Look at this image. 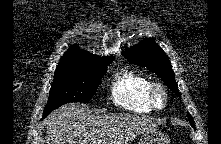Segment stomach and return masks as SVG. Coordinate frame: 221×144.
<instances>
[{"mask_svg": "<svg viewBox=\"0 0 221 144\" xmlns=\"http://www.w3.org/2000/svg\"><path fill=\"white\" fill-rule=\"evenodd\" d=\"M168 137L157 129L144 132L138 144H168Z\"/></svg>", "mask_w": 221, "mask_h": 144, "instance_id": "stomach-1", "label": "stomach"}]
</instances>
